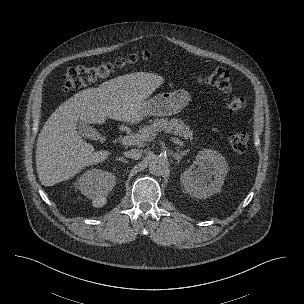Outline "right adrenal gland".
I'll list each match as a JSON object with an SVG mask.
<instances>
[{
    "label": "right adrenal gland",
    "instance_id": "right-adrenal-gland-1",
    "mask_svg": "<svg viewBox=\"0 0 304 304\" xmlns=\"http://www.w3.org/2000/svg\"><path fill=\"white\" fill-rule=\"evenodd\" d=\"M117 160L118 161H121V162H123V163H128V161H126V159H124V157H119V158H117Z\"/></svg>",
    "mask_w": 304,
    "mask_h": 304
}]
</instances>
